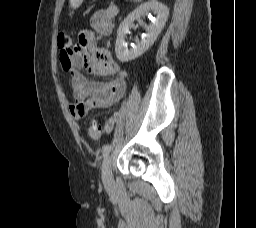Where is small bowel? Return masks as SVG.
<instances>
[{"instance_id":"1","label":"small bowel","mask_w":256,"mask_h":228,"mask_svg":"<svg viewBox=\"0 0 256 228\" xmlns=\"http://www.w3.org/2000/svg\"><path fill=\"white\" fill-rule=\"evenodd\" d=\"M119 8L108 6L95 12L90 20L93 31L79 34V43L66 52L60 49L62 69L69 75L73 103L70 112L79 121L95 108H107L121 99L126 88L127 72L106 49L97 47L95 33L109 36ZM83 70L96 76H112L109 81L88 79Z\"/></svg>"}]
</instances>
